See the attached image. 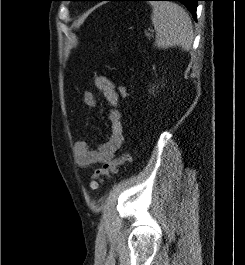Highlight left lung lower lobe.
<instances>
[{
    "mask_svg": "<svg viewBox=\"0 0 245 265\" xmlns=\"http://www.w3.org/2000/svg\"><path fill=\"white\" fill-rule=\"evenodd\" d=\"M82 1H151V0H82ZM168 1H179L183 3L192 13L193 17L196 19L197 1L201 0H168Z\"/></svg>",
    "mask_w": 245,
    "mask_h": 265,
    "instance_id": "left-lung-lower-lobe-1",
    "label": "left lung lower lobe"
}]
</instances>
